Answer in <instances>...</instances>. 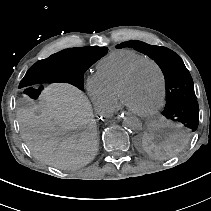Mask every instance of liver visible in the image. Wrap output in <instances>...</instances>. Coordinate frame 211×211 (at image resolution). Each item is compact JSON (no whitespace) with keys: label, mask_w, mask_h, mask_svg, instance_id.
<instances>
[{"label":"liver","mask_w":211,"mask_h":211,"mask_svg":"<svg viewBox=\"0 0 211 211\" xmlns=\"http://www.w3.org/2000/svg\"><path fill=\"white\" fill-rule=\"evenodd\" d=\"M42 97L39 105L17 112L29 149L37 159L61 169L89 163L98 143L96 120L87 97L67 83L51 84Z\"/></svg>","instance_id":"liver-1"}]
</instances>
